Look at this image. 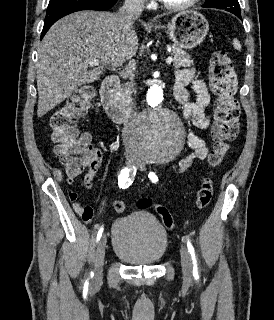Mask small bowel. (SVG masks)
<instances>
[{
  "instance_id": "1",
  "label": "small bowel",
  "mask_w": 274,
  "mask_h": 320,
  "mask_svg": "<svg viewBox=\"0 0 274 320\" xmlns=\"http://www.w3.org/2000/svg\"><path fill=\"white\" fill-rule=\"evenodd\" d=\"M192 85L195 92V100H191L187 91V86ZM174 95L183 106L185 119L196 129L205 130L210 124V114L207 107L210 102V95L205 82L196 76L192 69H179L175 73ZM187 145L192 150L191 153L182 157L179 161L178 170L180 173L190 171L195 161L204 160L209 155V148L205 140L193 131L187 134ZM85 161L89 162V167L84 175V187L89 189L103 164V153L100 149L90 147ZM70 198V197H69ZM73 202L74 211L85 223H90L93 219L94 211L91 206L83 205L78 201V197L70 198Z\"/></svg>"
}]
</instances>
